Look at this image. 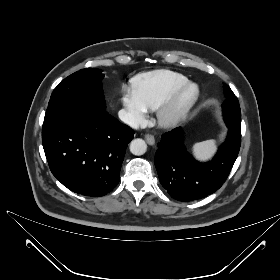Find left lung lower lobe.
Wrapping results in <instances>:
<instances>
[{
    "label": "left lung lower lobe",
    "instance_id": "left-lung-lower-lobe-1",
    "mask_svg": "<svg viewBox=\"0 0 280 280\" xmlns=\"http://www.w3.org/2000/svg\"><path fill=\"white\" fill-rule=\"evenodd\" d=\"M182 138L180 128L161 136L155 167L160 183L169 195L186 202L204 198L222 186L238 156L241 134L229 128L225 143L213 160L204 164L195 161L186 152Z\"/></svg>",
    "mask_w": 280,
    "mask_h": 280
}]
</instances>
